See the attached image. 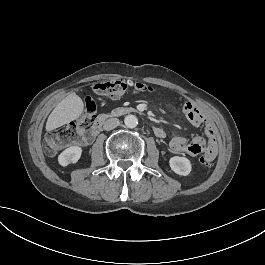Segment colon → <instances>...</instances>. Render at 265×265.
Returning a JSON list of instances; mask_svg holds the SVG:
<instances>
[{"instance_id": "colon-1", "label": "colon", "mask_w": 265, "mask_h": 265, "mask_svg": "<svg viewBox=\"0 0 265 265\" xmlns=\"http://www.w3.org/2000/svg\"><path fill=\"white\" fill-rule=\"evenodd\" d=\"M149 89V86L141 82H129L122 79L114 80H98L91 86L93 94L98 96L108 97L110 99H118L126 93L132 92H144ZM96 104L90 101L86 104V109L94 111ZM84 122H82L83 124ZM78 134L75 131L73 124H66L56 131L51 132L45 140V151L49 155L57 153L58 149L66 143L72 142L77 138ZM201 165L209 166L211 161H205L204 155L199 159Z\"/></svg>"}]
</instances>
